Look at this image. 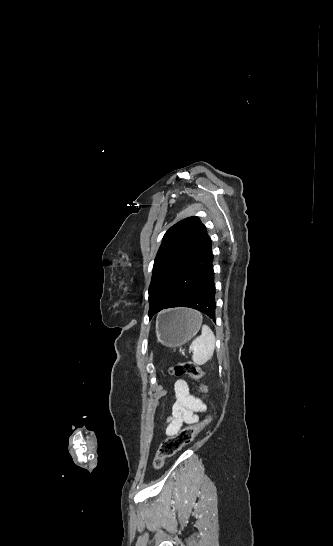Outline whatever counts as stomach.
I'll list each match as a JSON object with an SVG mask.
<instances>
[{"label":"stomach","instance_id":"obj_1","mask_svg":"<svg viewBox=\"0 0 333 546\" xmlns=\"http://www.w3.org/2000/svg\"><path fill=\"white\" fill-rule=\"evenodd\" d=\"M202 325L197 311L175 308L165 311L156 320L158 342L167 347H180L192 339Z\"/></svg>","mask_w":333,"mask_h":546}]
</instances>
